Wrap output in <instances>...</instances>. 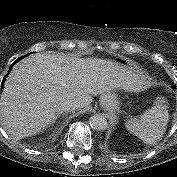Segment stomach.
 Returning <instances> with one entry per match:
<instances>
[{"mask_svg":"<svg viewBox=\"0 0 177 177\" xmlns=\"http://www.w3.org/2000/svg\"><path fill=\"white\" fill-rule=\"evenodd\" d=\"M100 104L104 109L108 111H115L120 104L117 93L114 90H111L102 94L100 96Z\"/></svg>","mask_w":177,"mask_h":177,"instance_id":"stomach-1","label":"stomach"}]
</instances>
